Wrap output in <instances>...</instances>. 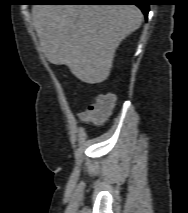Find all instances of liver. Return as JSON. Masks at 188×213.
<instances>
[{
    "instance_id": "obj_1",
    "label": "liver",
    "mask_w": 188,
    "mask_h": 213,
    "mask_svg": "<svg viewBox=\"0 0 188 213\" xmlns=\"http://www.w3.org/2000/svg\"><path fill=\"white\" fill-rule=\"evenodd\" d=\"M32 16L47 60L89 84L109 77L116 49L143 20L134 5H34Z\"/></svg>"
}]
</instances>
